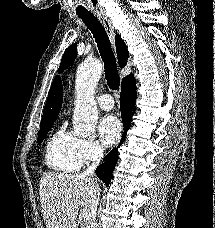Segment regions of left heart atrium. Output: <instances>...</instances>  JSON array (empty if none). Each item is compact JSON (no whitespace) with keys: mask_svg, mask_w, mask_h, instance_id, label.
Masks as SVG:
<instances>
[{"mask_svg":"<svg viewBox=\"0 0 215 228\" xmlns=\"http://www.w3.org/2000/svg\"><path fill=\"white\" fill-rule=\"evenodd\" d=\"M98 132L101 140L106 145H112L120 138L122 133V125L115 115L108 114L100 120Z\"/></svg>","mask_w":215,"mask_h":228,"instance_id":"left-heart-atrium-1","label":"left heart atrium"}]
</instances>
